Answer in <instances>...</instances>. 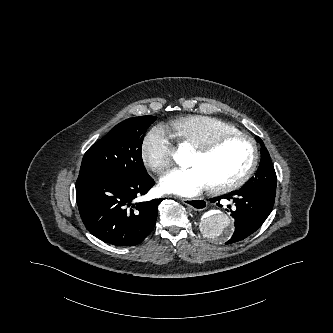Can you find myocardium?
Returning <instances> with one entry per match:
<instances>
[{
    "mask_svg": "<svg viewBox=\"0 0 333 333\" xmlns=\"http://www.w3.org/2000/svg\"><path fill=\"white\" fill-rule=\"evenodd\" d=\"M230 140H244L247 141L252 147V159L248 168L236 179L211 185V189L218 193L229 192L236 190L242 187L248 180L252 177L254 172L256 171L258 161H259V148L256 140L244 133L236 132V133H225L217 135L197 146L194 147V150L201 155H208L215 151L219 146L223 143Z\"/></svg>",
    "mask_w": 333,
    "mask_h": 333,
    "instance_id": "f54148a6",
    "label": "myocardium"
}]
</instances>
